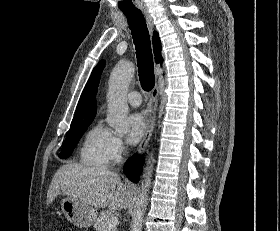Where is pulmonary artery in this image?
<instances>
[{"label": "pulmonary artery", "instance_id": "obj_1", "mask_svg": "<svg viewBox=\"0 0 280 231\" xmlns=\"http://www.w3.org/2000/svg\"><path fill=\"white\" fill-rule=\"evenodd\" d=\"M127 101L134 107L141 104V95L137 91H132L127 95Z\"/></svg>", "mask_w": 280, "mask_h": 231}]
</instances>
